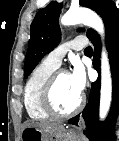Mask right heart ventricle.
Listing matches in <instances>:
<instances>
[{
  "instance_id": "right-heart-ventricle-1",
  "label": "right heart ventricle",
  "mask_w": 119,
  "mask_h": 141,
  "mask_svg": "<svg viewBox=\"0 0 119 141\" xmlns=\"http://www.w3.org/2000/svg\"><path fill=\"white\" fill-rule=\"evenodd\" d=\"M56 70L43 61L30 74L24 88V105L28 115L34 120H47L49 115L41 105V92L49 76Z\"/></svg>"
}]
</instances>
